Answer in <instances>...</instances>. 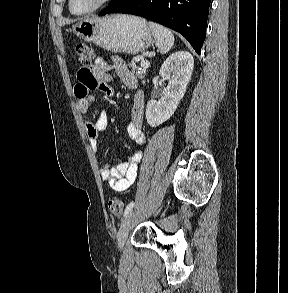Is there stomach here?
I'll use <instances>...</instances> for the list:
<instances>
[{
  "mask_svg": "<svg viewBox=\"0 0 288 293\" xmlns=\"http://www.w3.org/2000/svg\"><path fill=\"white\" fill-rule=\"evenodd\" d=\"M74 34L112 52L136 54L154 43L147 22L130 15H109L87 18L72 26Z\"/></svg>",
  "mask_w": 288,
  "mask_h": 293,
  "instance_id": "0dacf381",
  "label": "stomach"
}]
</instances>
